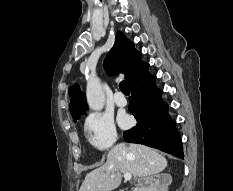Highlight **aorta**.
<instances>
[{
    "instance_id": "1",
    "label": "aorta",
    "mask_w": 233,
    "mask_h": 191,
    "mask_svg": "<svg viewBox=\"0 0 233 191\" xmlns=\"http://www.w3.org/2000/svg\"><path fill=\"white\" fill-rule=\"evenodd\" d=\"M86 97L89 107L94 111H101L105 105V95L97 79L91 78L87 82Z\"/></svg>"
}]
</instances>
